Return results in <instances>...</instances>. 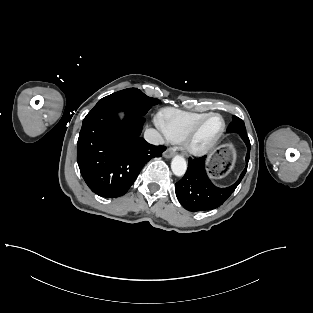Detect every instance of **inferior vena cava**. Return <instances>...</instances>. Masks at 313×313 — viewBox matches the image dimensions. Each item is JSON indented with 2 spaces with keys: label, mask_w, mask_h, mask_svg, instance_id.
I'll use <instances>...</instances> for the list:
<instances>
[{
  "label": "inferior vena cava",
  "mask_w": 313,
  "mask_h": 313,
  "mask_svg": "<svg viewBox=\"0 0 313 313\" xmlns=\"http://www.w3.org/2000/svg\"><path fill=\"white\" fill-rule=\"evenodd\" d=\"M145 140L153 145H162L164 143V139L161 134L155 129H147L144 133Z\"/></svg>",
  "instance_id": "1"
}]
</instances>
